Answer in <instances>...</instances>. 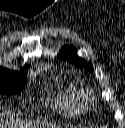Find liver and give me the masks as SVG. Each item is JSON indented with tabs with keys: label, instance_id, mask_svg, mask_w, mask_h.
Segmentation results:
<instances>
[{
	"label": "liver",
	"instance_id": "liver-1",
	"mask_svg": "<svg viewBox=\"0 0 125 128\" xmlns=\"http://www.w3.org/2000/svg\"><path fill=\"white\" fill-rule=\"evenodd\" d=\"M37 126H39V125H37ZM3 128L4 127V124H3V121L0 119V128ZM40 127H42V128H59L58 126H55V125H46V124H41L40 125Z\"/></svg>",
	"mask_w": 125,
	"mask_h": 128
}]
</instances>
